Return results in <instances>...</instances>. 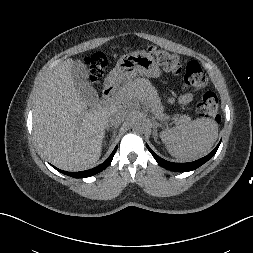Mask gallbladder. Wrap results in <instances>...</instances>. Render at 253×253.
I'll return each instance as SVG.
<instances>
[{
	"label": "gallbladder",
	"instance_id": "bac80fb5",
	"mask_svg": "<svg viewBox=\"0 0 253 253\" xmlns=\"http://www.w3.org/2000/svg\"><path fill=\"white\" fill-rule=\"evenodd\" d=\"M72 78L76 91L87 104L91 105L98 102L96 91L88 80L87 67L80 60L73 62Z\"/></svg>",
	"mask_w": 253,
	"mask_h": 253
}]
</instances>
